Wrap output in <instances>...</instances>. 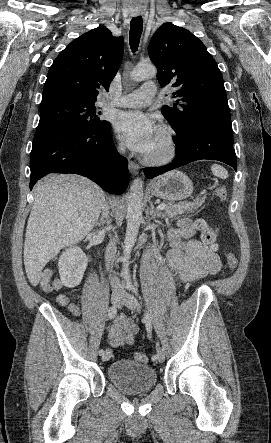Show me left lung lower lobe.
<instances>
[{
	"mask_svg": "<svg viewBox=\"0 0 271 443\" xmlns=\"http://www.w3.org/2000/svg\"><path fill=\"white\" fill-rule=\"evenodd\" d=\"M175 132L177 138L173 141L177 156L166 166L145 168L144 174L148 179L202 159L219 160L237 170L231 119L203 113L185 128Z\"/></svg>",
	"mask_w": 271,
	"mask_h": 443,
	"instance_id": "obj_1",
	"label": "left lung lower lobe"
}]
</instances>
